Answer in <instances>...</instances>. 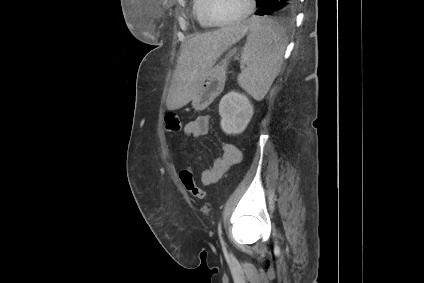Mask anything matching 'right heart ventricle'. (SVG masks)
Listing matches in <instances>:
<instances>
[{
	"label": "right heart ventricle",
	"instance_id": "right-heart-ventricle-1",
	"mask_svg": "<svg viewBox=\"0 0 424 283\" xmlns=\"http://www.w3.org/2000/svg\"><path fill=\"white\" fill-rule=\"evenodd\" d=\"M205 0H192V13L197 23L202 28H211L212 25L206 20L204 14Z\"/></svg>",
	"mask_w": 424,
	"mask_h": 283
}]
</instances>
